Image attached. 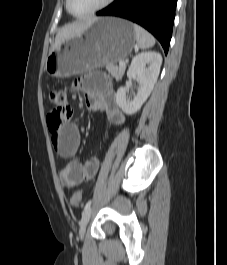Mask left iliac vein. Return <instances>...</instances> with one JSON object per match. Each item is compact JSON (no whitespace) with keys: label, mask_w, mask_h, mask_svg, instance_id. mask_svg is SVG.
<instances>
[{"label":"left iliac vein","mask_w":227,"mask_h":265,"mask_svg":"<svg viewBox=\"0 0 227 265\" xmlns=\"http://www.w3.org/2000/svg\"><path fill=\"white\" fill-rule=\"evenodd\" d=\"M91 208L89 207L87 210H85L82 214V218L80 221V230H79V235L80 238L82 239L84 237L85 231H86V226L90 220L91 217Z\"/></svg>","instance_id":"1"}]
</instances>
